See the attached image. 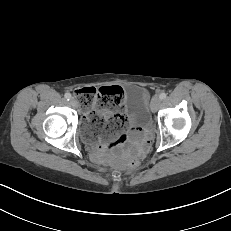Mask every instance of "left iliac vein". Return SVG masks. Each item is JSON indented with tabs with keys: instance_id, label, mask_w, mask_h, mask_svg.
Instances as JSON below:
<instances>
[{
	"instance_id": "4c4485c4",
	"label": "left iliac vein",
	"mask_w": 231,
	"mask_h": 231,
	"mask_svg": "<svg viewBox=\"0 0 231 231\" xmlns=\"http://www.w3.org/2000/svg\"><path fill=\"white\" fill-rule=\"evenodd\" d=\"M160 104H161V99L157 96L153 97L151 101V111L155 113L159 109Z\"/></svg>"
}]
</instances>
